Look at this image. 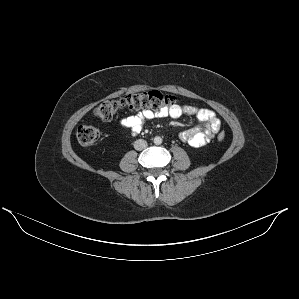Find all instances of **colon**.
<instances>
[{"label": "colon", "instance_id": "1", "mask_svg": "<svg viewBox=\"0 0 299 299\" xmlns=\"http://www.w3.org/2000/svg\"><path fill=\"white\" fill-rule=\"evenodd\" d=\"M174 102L172 95L152 90L102 101L95 107L94 115L100 120L109 121L121 111L161 110L172 107ZM76 136L80 144L88 146L100 139V131L94 126L83 125L78 128ZM217 139L224 140L225 133L219 132Z\"/></svg>", "mask_w": 299, "mask_h": 299}]
</instances>
